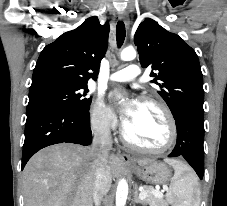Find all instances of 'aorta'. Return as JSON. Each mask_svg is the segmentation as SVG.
I'll use <instances>...</instances> for the list:
<instances>
[{
	"mask_svg": "<svg viewBox=\"0 0 227 206\" xmlns=\"http://www.w3.org/2000/svg\"><path fill=\"white\" fill-rule=\"evenodd\" d=\"M136 51L133 48H125L120 58L122 61H131L135 59ZM128 195V183L125 179H121L116 190V206H125Z\"/></svg>",
	"mask_w": 227,
	"mask_h": 206,
	"instance_id": "aorta-1",
	"label": "aorta"
}]
</instances>
